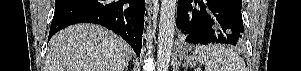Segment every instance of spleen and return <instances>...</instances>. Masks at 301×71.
Listing matches in <instances>:
<instances>
[{
  "label": "spleen",
  "mask_w": 301,
  "mask_h": 71,
  "mask_svg": "<svg viewBox=\"0 0 301 71\" xmlns=\"http://www.w3.org/2000/svg\"><path fill=\"white\" fill-rule=\"evenodd\" d=\"M193 56L205 64V71H247L243 58L232 48L220 44L198 47Z\"/></svg>",
  "instance_id": "spleen-1"
}]
</instances>
